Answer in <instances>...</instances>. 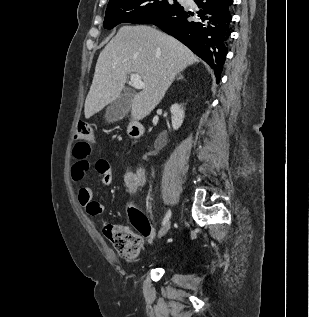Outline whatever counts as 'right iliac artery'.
I'll list each match as a JSON object with an SVG mask.
<instances>
[{
  "mask_svg": "<svg viewBox=\"0 0 309 317\" xmlns=\"http://www.w3.org/2000/svg\"><path fill=\"white\" fill-rule=\"evenodd\" d=\"M170 217H171V210L169 209V210L167 211V213H166L164 219H163L162 224L164 225L166 222H168L169 219H170Z\"/></svg>",
  "mask_w": 309,
  "mask_h": 317,
  "instance_id": "82829eb1",
  "label": "right iliac artery"
}]
</instances>
